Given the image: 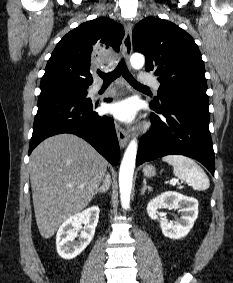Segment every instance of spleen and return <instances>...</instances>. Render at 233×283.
Listing matches in <instances>:
<instances>
[{
  "mask_svg": "<svg viewBox=\"0 0 233 283\" xmlns=\"http://www.w3.org/2000/svg\"><path fill=\"white\" fill-rule=\"evenodd\" d=\"M164 162L173 166L174 175L191 184L194 190H207L209 179L202 168L192 159L182 155H168L162 158Z\"/></svg>",
  "mask_w": 233,
  "mask_h": 283,
  "instance_id": "obj_1",
  "label": "spleen"
}]
</instances>
